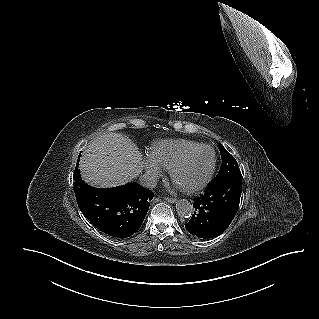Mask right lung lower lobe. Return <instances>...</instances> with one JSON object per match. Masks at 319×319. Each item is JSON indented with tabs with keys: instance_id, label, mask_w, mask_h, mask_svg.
<instances>
[{
	"instance_id": "1",
	"label": "right lung lower lobe",
	"mask_w": 319,
	"mask_h": 319,
	"mask_svg": "<svg viewBox=\"0 0 319 319\" xmlns=\"http://www.w3.org/2000/svg\"><path fill=\"white\" fill-rule=\"evenodd\" d=\"M73 178L77 204L97 229L116 238H127L140 228L154 197L152 191L137 183L94 188L81 179L78 168Z\"/></svg>"
}]
</instances>
